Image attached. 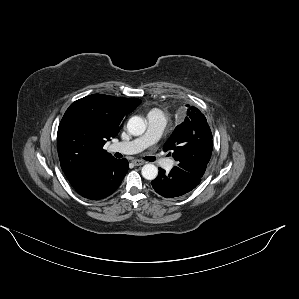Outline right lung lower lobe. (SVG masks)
Instances as JSON below:
<instances>
[{"label":"right lung lower lobe","mask_w":299,"mask_h":299,"mask_svg":"<svg viewBox=\"0 0 299 299\" xmlns=\"http://www.w3.org/2000/svg\"><path fill=\"white\" fill-rule=\"evenodd\" d=\"M128 171L126 159H111L98 166L88 180L76 191L83 197L98 200L112 194Z\"/></svg>","instance_id":"98d812e1"}]
</instances>
